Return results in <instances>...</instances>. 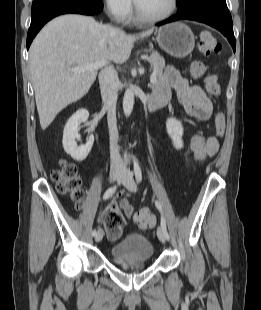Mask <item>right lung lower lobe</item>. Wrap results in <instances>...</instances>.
<instances>
[{
  "label": "right lung lower lobe",
  "instance_id": "obj_1",
  "mask_svg": "<svg viewBox=\"0 0 261 310\" xmlns=\"http://www.w3.org/2000/svg\"><path fill=\"white\" fill-rule=\"evenodd\" d=\"M102 9V2L95 0H43L32 4L31 25L27 34V49L39 30L50 19L66 13L97 15Z\"/></svg>",
  "mask_w": 261,
  "mask_h": 310
}]
</instances>
